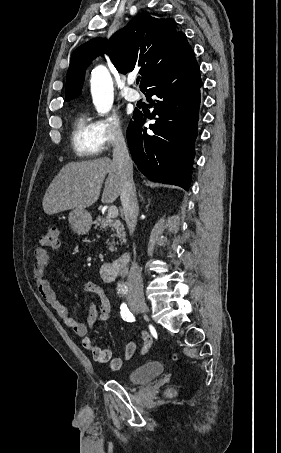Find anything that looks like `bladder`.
<instances>
[{
	"label": "bladder",
	"mask_w": 281,
	"mask_h": 453,
	"mask_svg": "<svg viewBox=\"0 0 281 453\" xmlns=\"http://www.w3.org/2000/svg\"><path fill=\"white\" fill-rule=\"evenodd\" d=\"M163 370L164 366L161 362H148L132 370L127 376V381L131 384L148 382L161 374Z\"/></svg>",
	"instance_id": "bladder-1"
}]
</instances>
